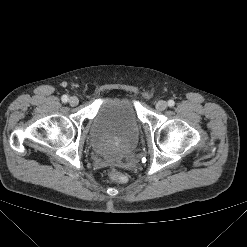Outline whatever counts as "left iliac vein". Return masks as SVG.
I'll return each mask as SVG.
<instances>
[{
	"instance_id": "left-iliac-vein-1",
	"label": "left iliac vein",
	"mask_w": 247,
	"mask_h": 247,
	"mask_svg": "<svg viewBox=\"0 0 247 247\" xmlns=\"http://www.w3.org/2000/svg\"><path fill=\"white\" fill-rule=\"evenodd\" d=\"M167 108V102L164 100H160L156 103V109L159 111H163Z\"/></svg>"
}]
</instances>
